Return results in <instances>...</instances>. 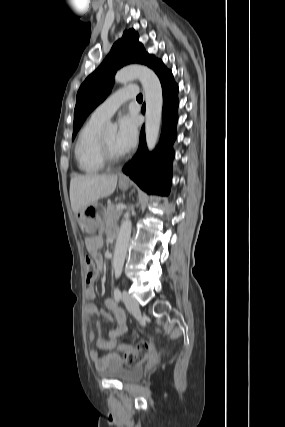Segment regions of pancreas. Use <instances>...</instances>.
<instances>
[{"label":"pancreas","instance_id":"cf45deb5","mask_svg":"<svg viewBox=\"0 0 285 427\" xmlns=\"http://www.w3.org/2000/svg\"><path fill=\"white\" fill-rule=\"evenodd\" d=\"M122 211L116 208V205L113 203H108L104 224L107 226L110 223L116 221L121 216Z\"/></svg>","mask_w":285,"mask_h":427}]
</instances>
